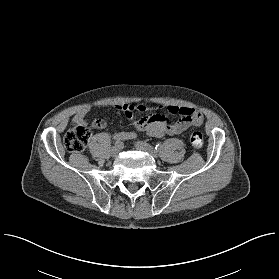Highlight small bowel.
<instances>
[{"label":"small bowel","instance_id":"small-bowel-1","mask_svg":"<svg viewBox=\"0 0 279 279\" xmlns=\"http://www.w3.org/2000/svg\"><path fill=\"white\" fill-rule=\"evenodd\" d=\"M117 107L128 119L131 120L134 119L136 113L144 114L143 117L134 122L135 131H122L114 135V137L120 141L135 139L137 132H146L155 137L177 135L189 128L201 125L204 120L201 112L186 107L159 106L161 109L165 108L166 113L150 112L145 105L133 107L124 104ZM134 108L137 110H134ZM88 112L89 108H82L73 116V124L86 123L85 116ZM169 115H178V119L174 123H169ZM105 126L106 122L103 119L98 118L93 121V127L96 129H103Z\"/></svg>","mask_w":279,"mask_h":279}]
</instances>
